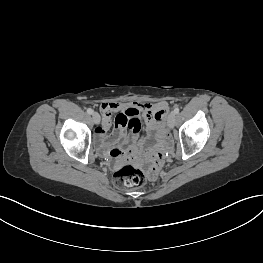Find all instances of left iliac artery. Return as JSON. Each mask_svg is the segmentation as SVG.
Wrapping results in <instances>:
<instances>
[{
	"instance_id": "obj_1",
	"label": "left iliac artery",
	"mask_w": 263,
	"mask_h": 263,
	"mask_svg": "<svg viewBox=\"0 0 263 263\" xmlns=\"http://www.w3.org/2000/svg\"><path fill=\"white\" fill-rule=\"evenodd\" d=\"M174 112H175L176 114H178V113H179V108L176 107V108L174 109Z\"/></svg>"
}]
</instances>
